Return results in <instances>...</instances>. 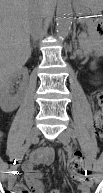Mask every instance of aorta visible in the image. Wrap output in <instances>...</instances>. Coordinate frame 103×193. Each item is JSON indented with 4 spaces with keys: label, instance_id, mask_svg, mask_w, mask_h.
<instances>
[{
    "label": "aorta",
    "instance_id": "762f6f07",
    "mask_svg": "<svg viewBox=\"0 0 103 193\" xmlns=\"http://www.w3.org/2000/svg\"><path fill=\"white\" fill-rule=\"evenodd\" d=\"M72 6L70 0H58L56 9V32L60 40H64L72 25Z\"/></svg>",
    "mask_w": 103,
    "mask_h": 193
}]
</instances>
